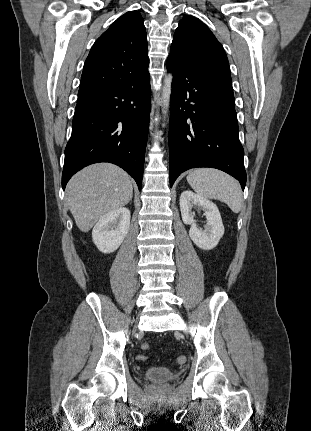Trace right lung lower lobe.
<instances>
[{
	"label": "right lung lower lobe",
	"instance_id": "right-lung-lower-lobe-1",
	"mask_svg": "<svg viewBox=\"0 0 311 431\" xmlns=\"http://www.w3.org/2000/svg\"><path fill=\"white\" fill-rule=\"evenodd\" d=\"M150 99L148 69L134 80L78 95L65 148L63 189L83 167L110 162L131 175L141 190Z\"/></svg>",
	"mask_w": 311,
	"mask_h": 431
}]
</instances>
